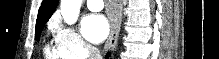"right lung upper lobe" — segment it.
<instances>
[{
	"label": "right lung upper lobe",
	"mask_w": 219,
	"mask_h": 59,
	"mask_svg": "<svg viewBox=\"0 0 219 59\" xmlns=\"http://www.w3.org/2000/svg\"><path fill=\"white\" fill-rule=\"evenodd\" d=\"M58 5V0H43L41 7L38 11L36 28L44 26L54 13Z\"/></svg>",
	"instance_id": "right-lung-upper-lobe-1"
}]
</instances>
